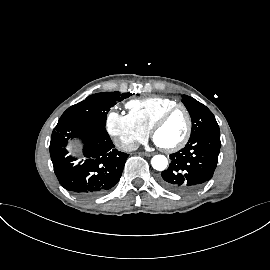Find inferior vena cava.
I'll list each match as a JSON object with an SVG mask.
<instances>
[{
	"label": "inferior vena cava",
	"mask_w": 270,
	"mask_h": 270,
	"mask_svg": "<svg viewBox=\"0 0 270 270\" xmlns=\"http://www.w3.org/2000/svg\"><path fill=\"white\" fill-rule=\"evenodd\" d=\"M115 144H116L118 149L125 151V152L134 151L138 148V146L134 143L115 142Z\"/></svg>",
	"instance_id": "1"
}]
</instances>
